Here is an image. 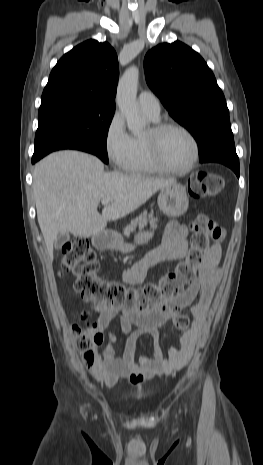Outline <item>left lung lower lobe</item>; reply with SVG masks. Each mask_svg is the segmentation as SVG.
Segmentation results:
<instances>
[{
  "instance_id": "1",
  "label": "left lung lower lobe",
  "mask_w": 263,
  "mask_h": 465,
  "mask_svg": "<svg viewBox=\"0 0 263 465\" xmlns=\"http://www.w3.org/2000/svg\"><path fill=\"white\" fill-rule=\"evenodd\" d=\"M203 162H219L230 167L237 177H239V159L235 148L215 151L207 157L200 160Z\"/></svg>"
}]
</instances>
